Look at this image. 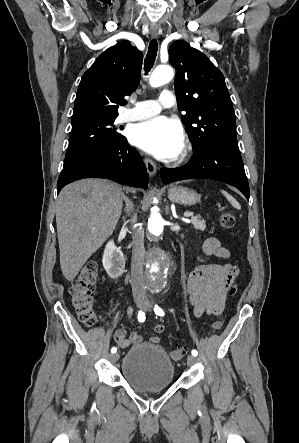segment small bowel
I'll list each match as a JSON object with an SVG mask.
<instances>
[{
	"label": "small bowel",
	"instance_id": "obj_1",
	"mask_svg": "<svg viewBox=\"0 0 299 443\" xmlns=\"http://www.w3.org/2000/svg\"><path fill=\"white\" fill-rule=\"evenodd\" d=\"M203 253L206 256L216 257L224 263H206L194 268L186 279L185 289L195 317L206 315H219L223 312L229 286L239 275V269L230 263L231 253L223 247L215 237H209L203 244ZM133 309L130 307L127 316L130 319ZM166 329L164 324H156L153 330L156 333L149 339L152 345L160 343L159 333ZM114 341L122 348L131 344L143 342V338L136 332H127L118 329L114 333Z\"/></svg>",
	"mask_w": 299,
	"mask_h": 443
}]
</instances>
